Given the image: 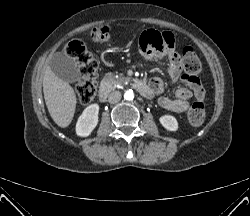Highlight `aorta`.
Segmentation results:
<instances>
[{
	"mask_svg": "<svg viewBox=\"0 0 250 216\" xmlns=\"http://www.w3.org/2000/svg\"><path fill=\"white\" fill-rule=\"evenodd\" d=\"M124 98L126 100H129V101L133 100L134 99V92L132 90L126 91L125 94H124Z\"/></svg>",
	"mask_w": 250,
	"mask_h": 216,
	"instance_id": "obj_1",
	"label": "aorta"
}]
</instances>
